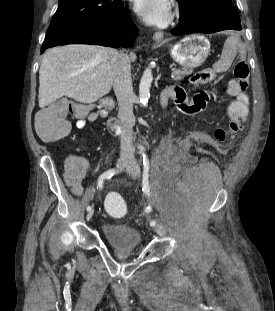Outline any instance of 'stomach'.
I'll return each instance as SVG.
<instances>
[{
	"instance_id": "obj_1",
	"label": "stomach",
	"mask_w": 275,
	"mask_h": 311,
	"mask_svg": "<svg viewBox=\"0 0 275 311\" xmlns=\"http://www.w3.org/2000/svg\"><path fill=\"white\" fill-rule=\"evenodd\" d=\"M210 53V42L201 35H190L170 49V55L185 68L202 65Z\"/></svg>"
}]
</instances>
